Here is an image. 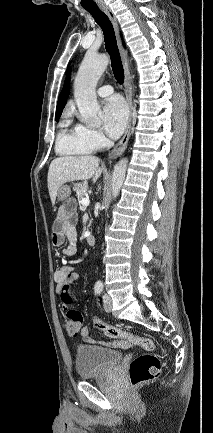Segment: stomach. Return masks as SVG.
<instances>
[{
    "mask_svg": "<svg viewBox=\"0 0 213 433\" xmlns=\"http://www.w3.org/2000/svg\"><path fill=\"white\" fill-rule=\"evenodd\" d=\"M71 194V189L68 185H62L57 193V197L59 201H66Z\"/></svg>",
    "mask_w": 213,
    "mask_h": 433,
    "instance_id": "obj_1",
    "label": "stomach"
}]
</instances>
